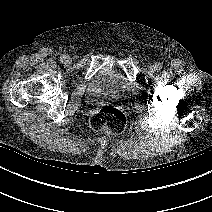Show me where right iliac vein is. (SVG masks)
I'll list each match as a JSON object with an SVG mask.
<instances>
[{
  "instance_id": "63e3f726",
  "label": "right iliac vein",
  "mask_w": 212,
  "mask_h": 212,
  "mask_svg": "<svg viewBox=\"0 0 212 212\" xmlns=\"http://www.w3.org/2000/svg\"><path fill=\"white\" fill-rule=\"evenodd\" d=\"M64 63L65 64H70L71 63V58L66 56V58L64 59Z\"/></svg>"
}]
</instances>
